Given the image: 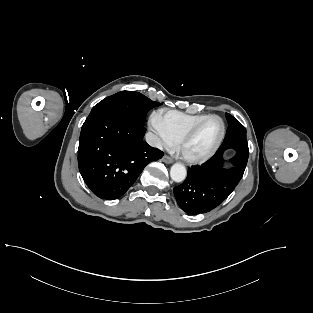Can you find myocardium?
Instances as JSON below:
<instances>
[{"label": "myocardium", "instance_id": "myocardium-1", "mask_svg": "<svg viewBox=\"0 0 313 313\" xmlns=\"http://www.w3.org/2000/svg\"><path fill=\"white\" fill-rule=\"evenodd\" d=\"M211 118H216L220 121L221 123V133L220 136L216 142V144L214 145V147L205 155L203 156H198V157H192V156H188L183 152V147L185 145V143L191 138V136L195 133V131L208 119ZM226 135V124L225 121L223 120V118L217 114H209L207 116H205L204 118H202L201 120H199L198 122H196L195 124H193L191 127H189L178 139L177 141V149L180 152V154L182 155V157L189 163L192 164H200L203 162L208 161L209 159H211L219 150V148L221 147L223 140L225 138Z\"/></svg>", "mask_w": 313, "mask_h": 313}]
</instances>
